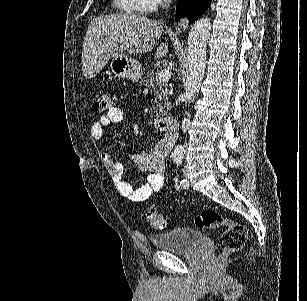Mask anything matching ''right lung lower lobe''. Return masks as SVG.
<instances>
[{"label":"right lung lower lobe","instance_id":"obj_1","mask_svg":"<svg viewBox=\"0 0 307 301\" xmlns=\"http://www.w3.org/2000/svg\"><path fill=\"white\" fill-rule=\"evenodd\" d=\"M212 0H180L176 5V21L188 16L189 23H193L210 6Z\"/></svg>","mask_w":307,"mask_h":301}]
</instances>
